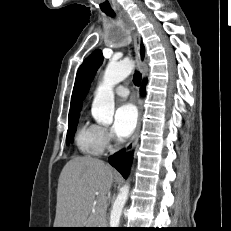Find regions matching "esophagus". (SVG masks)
Here are the masks:
<instances>
[{"instance_id": "esophagus-1", "label": "esophagus", "mask_w": 231, "mask_h": 231, "mask_svg": "<svg viewBox=\"0 0 231 231\" xmlns=\"http://www.w3.org/2000/svg\"><path fill=\"white\" fill-rule=\"evenodd\" d=\"M132 28L134 30L133 31V40H134V46H135L137 67L142 73H144L145 63L141 59V37H140L139 33L135 30V27L133 26ZM142 113H143V102H142V99H140L139 103H138L137 126H136L134 134L132 135V137L130 138V140L128 141V143L125 146L126 152H131L138 142L139 133H140V129H141Z\"/></svg>"}]
</instances>
